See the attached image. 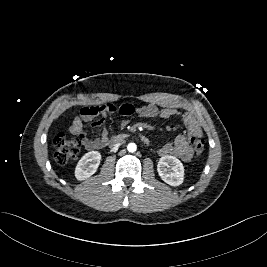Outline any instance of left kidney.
<instances>
[{"label":"left kidney","instance_id":"5707ae66","mask_svg":"<svg viewBox=\"0 0 267 267\" xmlns=\"http://www.w3.org/2000/svg\"><path fill=\"white\" fill-rule=\"evenodd\" d=\"M157 171L161 179L171 186H179L184 181L183 164L174 156L161 157L157 165Z\"/></svg>","mask_w":267,"mask_h":267}]
</instances>
